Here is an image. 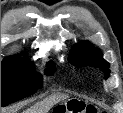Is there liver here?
<instances>
[{
	"instance_id": "liver-1",
	"label": "liver",
	"mask_w": 123,
	"mask_h": 113,
	"mask_svg": "<svg viewBox=\"0 0 123 113\" xmlns=\"http://www.w3.org/2000/svg\"><path fill=\"white\" fill-rule=\"evenodd\" d=\"M61 99L62 97L49 99L47 102L44 103V108L46 109L44 111H47L52 105H54L55 103H58ZM39 111H43V110H39ZM39 113H43V112H39Z\"/></svg>"
}]
</instances>
